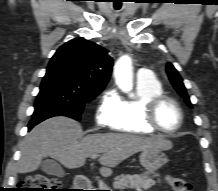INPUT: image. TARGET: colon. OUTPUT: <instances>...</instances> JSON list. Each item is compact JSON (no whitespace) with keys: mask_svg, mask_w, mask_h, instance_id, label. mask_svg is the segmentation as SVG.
Here are the masks:
<instances>
[{"mask_svg":"<svg viewBox=\"0 0 218 191\" xmlns=\"http://www.w3.org/2000/svg\"><path fill=\"white\" fill-rule=\"evenodd\" d=\"M167 181L173 191H193L192 185L181 177L168 176ZM19 191H65V189H62L58 179L38 174L23 180Z\"/></svg>","mask_w":218,"mask_h":191,"instance_id":"5ec220e1","label":"colon"}]
</instances>
